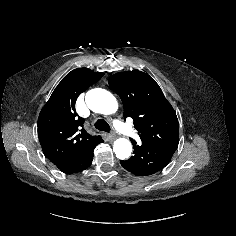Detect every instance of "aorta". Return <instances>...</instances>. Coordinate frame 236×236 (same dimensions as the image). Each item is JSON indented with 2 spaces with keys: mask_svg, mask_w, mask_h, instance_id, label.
<instances>
[{
  "mask_svg": "<svg viewBox=\"0 0 236 236\" xmlns=\"http://www.w3.org/2000/svg\"><path fill=\"white\" fill-rule=\"evenodd\" d=\"M88 107L100 114H113L118 109V103L109 91L96 88L87 92L85 97ZM113 151L118 159H126L131 155L132 145L126 138H119L113 144Z\"/></svg>",
  "mask_w": 236,
  "mask_h": 236,
  "instance_id": "obj_1",
  "label": "aorta"
}]
</instances>
